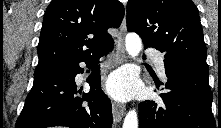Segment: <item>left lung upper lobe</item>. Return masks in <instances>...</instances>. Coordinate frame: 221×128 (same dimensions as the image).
I'll use <instances>...</instances> for the list:
<instances>
[{"mask_svg": "<svg viewBox=\"0 0 221 128\" xmlns=\"http://www.w3.org/2000/svg\"><path fill=\"white\" fill-rule=\"evenodd\" d=\"M127 29L165 58L208 70L202 26L191 0H129Z\"/></svg>", "mask_w": 221, "mask_h": 128, "instance_id": "1", "label": "left lung upper lobe"}]
</instances>
